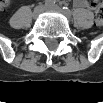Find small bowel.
<instances>
[{
    "mask_svg": "<svg viewBox=\"0 0 103 103\" xmlns=\"http://www.w3.org/2000/svg\"><path fill=\"white\" fill-rule=\"evenodd\" d=\"M74 5L76 7H88V3L86 1H84V0H76L74 2Z\"/></svg>",
    "mask_w": 103,
    "mask_h": 103,
    "instance_id": "c3829d8e",
    "label": "small bowel"
}]
</instances>
